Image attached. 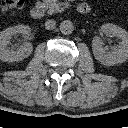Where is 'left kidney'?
Here are the masks:
<instances>
[{
  "label": "left kidney",
  "instance_id": "1",
  "mask_svg": "<svg viewBox=\"0 0 128 128\" xmlns=\"http://www.w3.org/2000/svg\"><path fill=\"white\" fill-rule=\"evenodd\" d=\"M101 31L118 37L121 39V43L113 51L106 52L101 38L98 36L94 37L92 40L94 57L106 66L125 62L128 59V32L117 25L109 23L102 25Z\"/></svg>",
  "mask_w": 128,
  "mask_h": 128
}]
</instances>
